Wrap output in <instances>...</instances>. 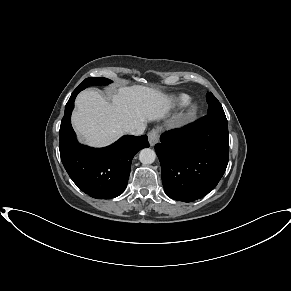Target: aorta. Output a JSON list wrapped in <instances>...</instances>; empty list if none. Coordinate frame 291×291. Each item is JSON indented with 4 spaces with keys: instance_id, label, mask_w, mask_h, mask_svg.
Listing matches in <instances>:
<instances>
[{
    "instance_id": "obj_1",
    "label": "aorta",
    "mask_w": 291,
    "mask_h": 291,
    "mask_svg": "<svg viewBox=\"0 0 291 291\" xmlns=\"http://www.w3.org/2000/svg\"><path fill=\"white\" fill-rule=\"evenodd\" d=\"M156 159V153L150 148H144L140 151L139 160L142 164H152Z\"/></svg>"
}]
</instances>
